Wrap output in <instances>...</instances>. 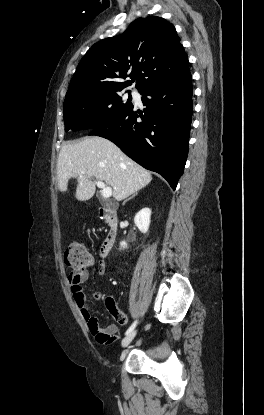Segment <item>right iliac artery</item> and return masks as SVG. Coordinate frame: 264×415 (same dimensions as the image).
Listing matches in <instances>:
<instances>
[{
  "instance_id": "1",
  "label": "right iliac artery",
  "mask_w": 264,
  "mask_h": 415,
  "mask_svg": "<svg viewBox=\"0 0 264 415\" xmlns=\"http://www.w3.org/2000/svg\"><path fill=\"white\" fill-rule=\"evenodd\" d=\"M137 320H135L132 324H131V326L127 329V331H126V335H128L129 333H131L134 329H135V327H136V325H137Z\"/></svg>"
}]
</instances>
